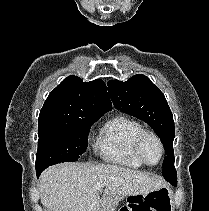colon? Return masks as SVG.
Masks as SVG:
<instances>
[{"mask_svg":"<svg viewBox=\"0 0 209 211\" xmlns=\"http://www.w3.org/2000/svg\"><path fill=\"white\" fill-rule=\"evenodd\" d=\"M170 200L167 190L161 189L129 198L119 211H169Z\"/></svg>","mask_w":209,"mask_h":211,"instance_id":"obj_1","label":"colon"}]
</instances>
